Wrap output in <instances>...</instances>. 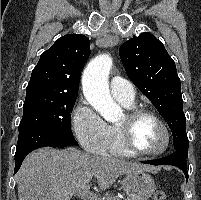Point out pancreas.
<instances>
[{
	"mask_svg": "<svg viewBox=\"0 0 201 200\" xmlns=\"http://www.w3.org/2000/svg\"><path fill=\"white\" fill-rule=\"evenodd\" d=\"M106 200H120V198L118 196H115V195H108L106 197Z\"/></svg>",
	"mask_w": 201,
	"mask_h": 200,
	"instance_id": "obj_1",
	"label": "pancreas"
}]
</instances>
